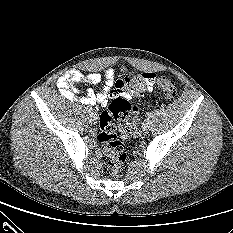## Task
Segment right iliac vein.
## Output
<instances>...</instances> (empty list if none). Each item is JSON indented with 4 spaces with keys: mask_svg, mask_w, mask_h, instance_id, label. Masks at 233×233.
<instances>
[{
    "mask_svg": "<svg viewBox=\"0 0 233 233\" xmlns=\"http://www.w3.org/2000/svg\"><path fill=\"white\" fill-rule=\"evenodd\" d=\"M97 115L96 114H94V113H92V114H90V122L92 123V124H95L96 122H97Z\"/></svg>",
    "mask_w": 233,
    "mask_h": 233,
    "instance_id": "right-iliac-vein-1",
    "label": "right iliac vein"
}]
</instances>
